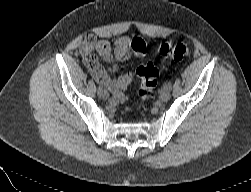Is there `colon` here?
Listing matches in <instances>:
<instances>
[{
    "mask_svg": "<svg viewBox=\"0 0 251 192\" xmlns=\"http://www.w3.org/2000/svg\"><path fill=\"white\" fill-rule=\"evenodd\" d=\"M159 53L175 61H184L191 55L190 49L184 43H163ZM136 76L140 80L139 96L142 99L153 97L159 76L157 67L152 63L144 64L137 68Z\"/></svg>",
    "mask_w": 251,
    "mask_h": 192,
    "instance_id": "5ec220e1",
    "label": "colon"
}]
</instances>
